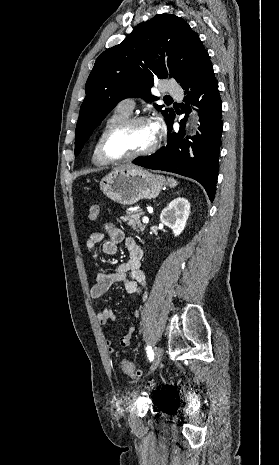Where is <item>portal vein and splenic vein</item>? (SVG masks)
Masks as SVG:
<instances>
[{
  "instance_id": "obj_1",
  "label": "portal vein and splenic vein",
  "mask_w": 279,
  "mask_h": 465,
  "mask_svg": "<svg viewBox=\"0 0 279 465\" xmlns=\"http://www.w3.org/2000/svg\"><path fill=\"white\" fill-rule=\"evenodd\" d=\"M142 221H143V223L147 224L149 222V218L147 216H144Z\"/></svg>"
}]
</instances>
